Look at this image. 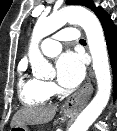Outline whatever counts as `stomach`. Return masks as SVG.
<instances>
[{
    "label": "stomach",
    "mask_w": 117,
    "mask_h": 131,
    "mask_svg": "<svg viewBox=\"0 0 117 131\" xmlns=\"http://www.w3.org/2000/svg\"><path fill=\"white\" fill-rule=\"evenodd\" d=\"M72 113L71 112H68V111H65L64 112V115L65 116H69L71 115ZM12 130L14 131H28L27 127L26 126H15L12 128Z\"/></svg>",
    "instance_id": "obj_1"
}]
</instances>
